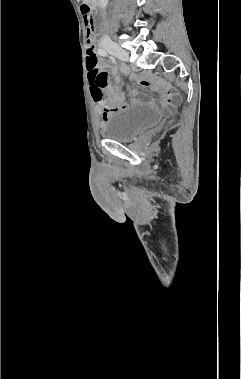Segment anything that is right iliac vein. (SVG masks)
Segmentation results:
<instances>
[{"label": "right iliac vein", "mask_w": 241, "mask_h": 379, "mask_svg": "<svg viewBox=\"0 0 241 379\" xmlns=\"http://www.w3.org/2000/svg\"><path fill=\"white\" fill-rule=\"evenodd\" d=\"M103 47L112 55L116 56L117 58L123 60V61H128L129 60V55L126 50L122 49L119 47L117 44L113 42L105 43Z\"/></svg>", "instance_id": "63e3f726"}]
</instances>
